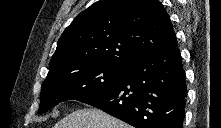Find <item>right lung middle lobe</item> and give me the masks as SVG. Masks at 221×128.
Wrapping results in <instances>:
<instances>
[{"instance_id":"right-lung-middle-lobe-1","label":"right lung middle lobe","mask_w":221,"mask_h":128,"mask_svg":"<svg viewBox=\"0 0 221 128\" xmlns=\"http://www.w3.org/2000/svg\"><path fill=\"white\" fill-rule=\"evenodd\" d=\"M127 67L103 64L66 66L48 73L41 89L40 108L44 113L67 100H84L118 82Z\"/></svg>"}]
</instances>
